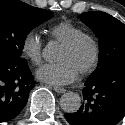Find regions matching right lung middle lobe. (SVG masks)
<instances>
[{"mask_svg":"<svg viewBox=\"0 0 125 125\" xmlns=\"http://www.w3.org/2000/svg\"><path fill=\"white\" fill-rule=\"evenodd\" d=\"M53 17V12L23 2L0 0V57L9 63L25 61L21 57L27 34Z\"/></svg>","mask_w":125,"mask_h":125,"instance_id":"right-lung-middle-lobe-1","label":"right lung middle lobe"}]
</instances>
